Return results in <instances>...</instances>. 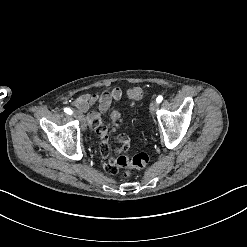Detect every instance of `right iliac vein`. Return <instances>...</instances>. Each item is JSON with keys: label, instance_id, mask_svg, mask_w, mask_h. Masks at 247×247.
Listing matches in <instances>:
<instances>
[{"label": "right iliac vein", "instance_id": "1", "mask_svg": "<svg viewBox=\"0 0 247 247\" xmlns=\"http://www.w3.org/2000/svg\"><path fill=\"white\" fill-rule=\"evenodd\" d=\"M74 115L80 121L82 130L86 131L87 130V125H86V121H85L84 116L77 110L75 111Z\"/></svg>", "mask_w": 247, "mask_h": 247}]
</instances>
